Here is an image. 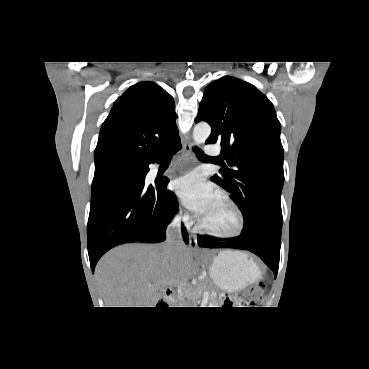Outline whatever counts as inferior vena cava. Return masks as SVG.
<instances>
[{"mask_svg":"<svg viewBox=\"0 0 369 369\" xmlns=\"http://www.w3.org/2000/svg\"><path fill=\"white\" fill-rule=\"evenodd\" d=\"M183 246L185 245L181 236V219L176 217L166 229V242L164 243V251L167 254H172L177 252Z\"/></svg>","mask_w":369,"mask_h":369,"instance_id":"inferior-vena-cava-1","label":"inferior vena cava"}]
</instances>
